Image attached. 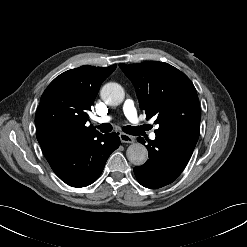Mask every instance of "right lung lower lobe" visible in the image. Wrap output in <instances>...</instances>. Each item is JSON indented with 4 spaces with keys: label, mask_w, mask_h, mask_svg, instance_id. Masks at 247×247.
<instances>
[{
    "label": "right lung lower lobe",
    "mask_w": 247,
    "mask_h": 247,
    "mask_svg": "<svg viewBox=\"0 0 247 247\" xmlns=\"http://www.w3.org/2000/svg\"><path fill=\"white\" fill-rule=\"evenodd\" d=\"M119 145L117 133L65 138L45 157L63 182L72 187H85L96 181L108 157Z\"/></svg>",
    "instance_id": "98d812e1"
}]
</instances>
